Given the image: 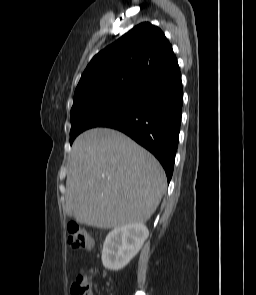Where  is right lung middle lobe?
I'll return each instance as SVG.
<instances>
[{
	"instance_id": "1",
	"label": "right lung middle lobe",
	"mask_w": 256,
	"mask_h": 295,
	"mask_svg": "<svg viewBox=\"0 0 256 295\" xmlns=\"http://www.w3.org/2000/svg\"><path fill=\"white\" fill-rule=\"evenodd\" d=\"M135 98V92H128L91 103L73 101L70 113V144L81 132L97 127L102 122L122 113L134 103Z\"/></svg>"
}]
</instances>
